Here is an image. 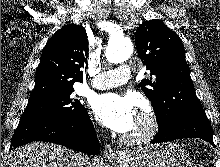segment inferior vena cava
Masks as SVG:
<instances>
[{
	"mask_svg": "<svg viewBox=\"0 0 220 167\" xmlns=\"http://www.w3.org/2000/svg\"><path fill=\"white\" fill-rule=\"evenodd\" d=\"M77 167H94V163L86 155H79L77 157Z\"/></svg>",
	"mask_w": 220,
	"mask_h": 167,
	"instance_id": "1",
	"label": "inferior vena cava"
}]
</instances>
